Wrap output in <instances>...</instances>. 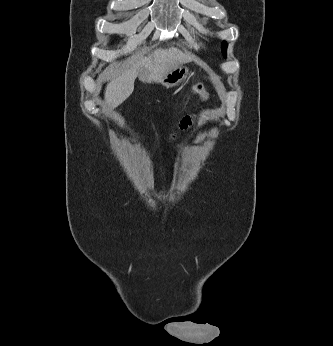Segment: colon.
<instances>
[{"mask_svg":"<svg viewBox=\"0 0 333 346\" xmlns=\"http://www.w3.org/2000/svg\"><path fill=\"white\" fill-rule=\"evenodd\" d=\"M195 92L200 95H204V87L201 83L195 86Z\"/></svg>","mask_w":333,"mask_h":346,"instance_id":"obj_1","label":"colon"}]
</instances>
